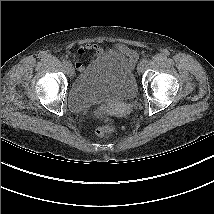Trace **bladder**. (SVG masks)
Here are the masks:
<instances>
[{
    "instance_id": "bladder-1",
    "label": "bladder",
    "mask_w": 214,
    "mask_h": 214,
    "mask_svg": "<svg viewBox=\"0 0 214 214\" xmlns=\"http://www.w3.org/2000/svg\"><path fill=\"white\" fill-rule=\"evenodd\" d=\"M136 94L137 84L130 62L118 52H107L75 78L67 99L73 111L81 112L108 101H130Z\"/></svg>"
}]
</instances>
